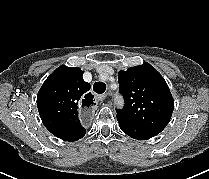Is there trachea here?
<instances>
[{
	"mask_svg": "<svg viewBox=\"0 0 209 179\" xmlns=\"http://www.w3.org/2000/svg\"><path fill=\"white\" fill-rule=\"evenodd\" d=\"M93 90L97 93V94H102L105 92L106 90V85L103 82H96L93 85Z\"/></svg>",
	"mask_w": 209,
	"mask_h": 179,
	"instance_id": "obj_1",
	"label": "trachea"
}]
</instances>
